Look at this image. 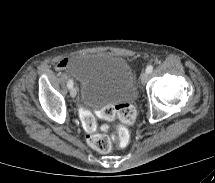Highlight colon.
<instances>
[{
  "mask_svg": "<svg viewBox=\"0 0 215 183\" xmlns=\"http://www.w3.org/2000/svg\"><path fill=\"white\" fill-rule=\"evenodd\" d=\"M98 115L105 119L118 117L120 123L116 126L118 133V145L125 148L130 140L129 126L135 119V109L129 103L119 104L116 106H106L98 112ZM84 128L90 133L87 136L88 144L99 152H108L112 147V141L106 133L93 132L95 124L94 118L89 113H83L81 116ZM103 131L110 130L109 125L102 126Z\"/></svg>",
  "mask_w": 215,
  "mask_h": 183,
  "instance_id": "1",
  "label": "colon"
}]
</instances>
